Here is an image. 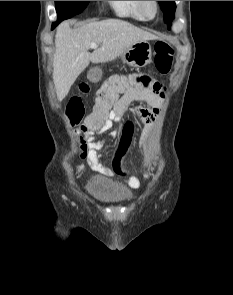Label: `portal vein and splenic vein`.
<instances>
[{"label":"portal vein and splenic vein","mask_w":233,"mask_h":295,"mask_svg":"<svg viewBox=\"0 0 233 295\" xmlns=\"http://www.w3.org/2000/svg\"><path fill=\"white\" fill-rule=\"evenodd\" d=\"M99 45L95 42L90 43V48L96 49Z\"/></svg>","instance_id":"18ae733b"}]
</instances>
